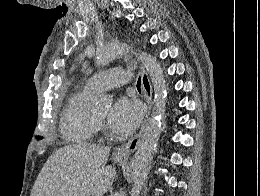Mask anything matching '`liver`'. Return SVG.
Wrapping results in <instances>:
<instances>
[{
    "label": "liver",
    "mask_w": 260,
    "mask_h": 196,
    "mask_svg": "<svg viewBox=\"0 0 260 196\" xmlns=\"http://www.w3.org/2000/svg\"><path fill=\"white\" fill-rule=\"evenodd\" d=\"M108 146H64L46 160L30 196H104L116 178Z\"/></svg>",
    "instance_id": "6515ba94"
}]
</instances>
